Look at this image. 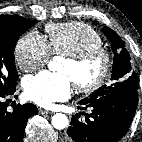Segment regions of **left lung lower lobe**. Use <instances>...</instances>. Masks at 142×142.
<instances>
[{"instance_id": "left-lung-lower-lobe-1", "label": "left lung lower lobe", "mask_w": 142, "mask_h": 142, "mask_svg": "<svg viewBox=\"0 0 142 142\" xmlns=\"http://www.w3.org/2000/svg\"><path fill=\"white\" fill-rule=\"evenodd\" d=\"M138 88H127L78 104L91 108L85 121L72 116L64 142H116L128 131L138 104ZM79 108V107H78Z\"/></svg>"}]
</instances>
